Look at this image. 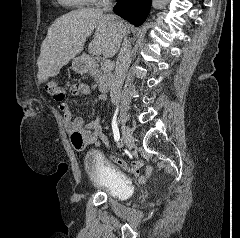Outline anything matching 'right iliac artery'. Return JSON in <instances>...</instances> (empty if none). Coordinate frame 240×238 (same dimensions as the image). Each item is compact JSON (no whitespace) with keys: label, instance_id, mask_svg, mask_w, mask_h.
<instances>
[{"label":"right iliac artery","instance_id":"1","mask_svg":"<svg viewBox=\"0 0 240 238\" xmlns=\"http://www.w3.org/2000/svg\"><path fill=\"white\" fill-rule=\"evenodd\" d=\"M124 142L122 140L118 141V146L121 147Z\"/></svg>","mask_w":240,"mask_h":238}]
</instances>
